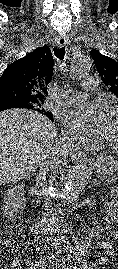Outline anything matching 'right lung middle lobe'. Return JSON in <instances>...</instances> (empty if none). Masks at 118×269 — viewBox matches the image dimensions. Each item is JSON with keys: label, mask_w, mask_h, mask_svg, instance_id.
<instances>
[{"label": "right lung middle lobe", "mask_w": 118, "mask_h": 269, "mask_svg": "<svg viewBox=\"0 0 118 269\" xmlns=\"http://www.w3.org/2000/svg\"><path fill=\"white\" fill-rule=\"evenodd\" d=\"M11 100L16 104L27 108H34L41 106V102L35 98L26 97L22 95H13Z\"/></svg>", "instance_id": "obj_1"}]
</instances>
